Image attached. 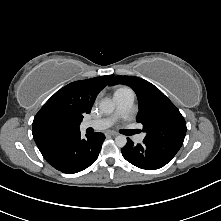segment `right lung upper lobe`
<instances>
[{
  "label": "right lung upper lobe",
  "instance_id": "obj_1",
  "mask_svg": "<svg viewBox=\"0 0 221 221\" xmlns=\"http://www.w3.org/2000/svg\"><path fill=\"white\" fill-rule=\"evenodd\" d=\"M113 75L72 82L57 91L33 120L32 133L38 148L63 133L79 130L84 114L91 111L97 94L111 84Z\"/></svg>",
  "mask_w": 221,
  "mask_h": 221
}]
</instances>
